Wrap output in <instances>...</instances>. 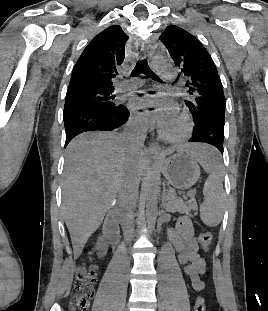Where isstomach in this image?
<instances>
[{
    "instance_id": "0dacf381",
    "label": "stomach",
    "mask_w": 268,
    "mask_h": 311,
    "mask_svg": "<svg viewBox=\"0 0 268 311\" xmlns=\"http://www.w3.org/2000/svg\"><path fill=\"white\" fill-rule=\"evenodd\" d=\"M156 163L167 182L177 189H188L200 177V168L190 151L178 149L169 157L162 155Z\"/></svg>"
}]
</instances>
